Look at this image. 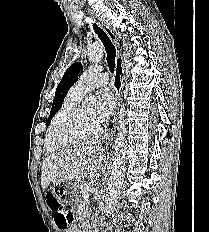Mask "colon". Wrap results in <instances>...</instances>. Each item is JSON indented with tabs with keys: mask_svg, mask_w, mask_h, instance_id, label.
<instances>
[{
	"mask_svg": "<svg viewBox=\"0 0 209 232\" xmlns=\"http://www.w3.org/2000/svg\"><path fill=\"white\" fill-rule=\"evenodd\" d=\"M45 198H47L48 206L53 211L55 226H59L61 229L67 228L73 220L70 211L60 206L54 193H45Z\"/></svg>",
	"mask_w": 209,
	"mask_h": 232,
	"instance_id": "obj_1",
	"label": "colon"
}]
</instances>
